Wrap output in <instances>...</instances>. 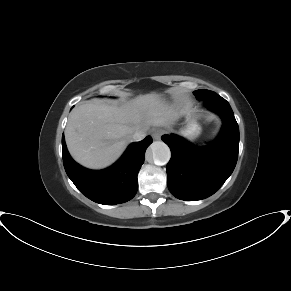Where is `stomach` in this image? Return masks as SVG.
<instances>
[{
  "mask_svg": "<svg viewBox=\"0 0 291 291\" xmlns=\"http://www.w3.org/2000/svg\"><path fill=\"white\" fill-rule=\"evenodd\" d=\"M201 132L200 125L194 120H188L186 127L181 131V133L189 138L195 139Z\"/></svg>",
  "mask_w": 291,
  "mask_h": 291,
  "instance_id": "1",
  "label": "stomach"
}]
</instances>
